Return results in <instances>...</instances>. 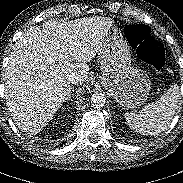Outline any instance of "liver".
I'll return each mask as SVG.
<instances>
[{
	"instance_id": "6515ba94",
	"label": "liver",
	"mask_w": 183,
	"mask_h": 183,
	"mask_svg": "<svg viewBox=\"0 0 183 183\" xmlns=\"http://www.w3.org/2000/svg\"><path fill=\"white\" fill-rule=\"evenodd\" d=\"M113 23L99 16L47 21L17 40L6 67L5 99L22 131L36 134L48 124L70 90V74H79L82 83L87 79L86 63L100 51Z\"/></svg>"
}]
</instances>
